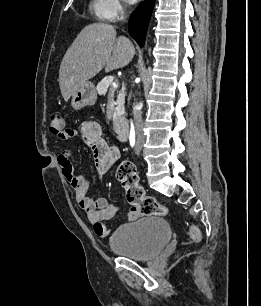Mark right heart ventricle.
Listing matches in <instances>:
<instances>
[{"label":"right heart ventricle","mask_w":261,"mask_h":306,"mask_svg":"<svg viewBox=\"0 0 261 306\" xmlns=\"http://www.w3.org/2000/svg\"><path fill=\"white\" fill-rule=\"evenodd\" d=\"M91 8L94 10V12L101 17V6H102V1L101 0H91L90 2ZM102 18V17H101Z\"/></svg>","instance_id":"1"}]
</instances>
